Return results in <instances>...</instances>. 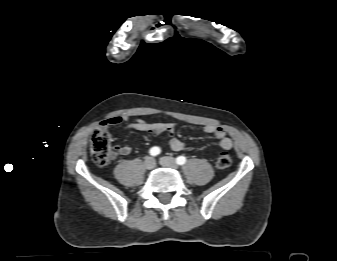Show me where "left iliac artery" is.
<instances>
[{
	"mask_svg": "<svg viewBox=\"0 0 337 261\" xmlns=\"http://www.w3.org/2000/svg\"><path fill=\"white\" fill-rule=\"evenodd\" d=\"M176 163L178 165H183L186 163V157L185 156H179L176 158Z\"/></svg>",
	"mask_w": 337,
	"mask_h": 261,
	"instance_id": "obj_1",
	"label": "left iliac artery"
}]
</instances>
